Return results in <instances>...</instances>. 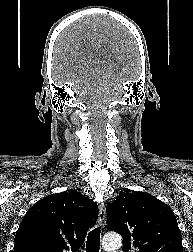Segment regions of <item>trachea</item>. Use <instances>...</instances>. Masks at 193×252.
Listing matches in <instances>:
<instances>
[{
    "label": "trachea",
    "instance_id": "3493384b",
    "mask_svg": "<svg viewBox=\"0 0 193 252\" xmlns=\"http://www.w3.org/2000/svg\"><path fill=\"white\" fill-rule=\"evenodd\" d=\"M101 228L96 227L89 232L86 241V252H99Z\"/></svg>",
    "mask_w": 193,
    "mask_h": 252
}]
</instances>
